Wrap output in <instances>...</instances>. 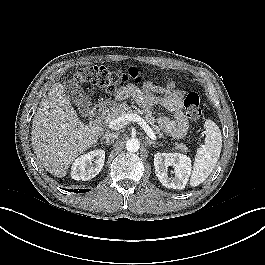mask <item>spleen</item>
I'll return each instance as SVG.
<instances>
[{
	"label": "spleen",
	"mask_w": 265,
	"mask_h": 265,
	"mask_svg": "<svg viewBox=\"0 0 265 265\" xmlns=\"http://www.w3.org/2000/svg\"><path fill=\"white\" fill-rule=\"evenodd\" d=\"M206 137L204 144L197 149L190 185L195 187L203 183L212 173L220 157L222 135L219 127L212 120L204 124Z\"/></svg>",
	"instance_id": "1"
}]
</instances>
